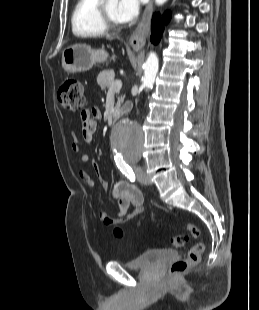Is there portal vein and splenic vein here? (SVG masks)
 <instances>
[{"label": "portal vein and splenic vein", "mask_w": 259, "mask_h": 310, "mask_svg": "<svg viewBox=\"0 0 259 310\" xmlns=\"http://www.w3.org/2000/svg\"><path fill=\"white\" fill-rule=\"evenodd\" d=\"M121 87H122V81H121V80H116V81H114V82L111 84V86H110L108 92H116V91H119V90L121 89Z\"/></svg>", "instance_id": "obj_1"}]
</instances>
